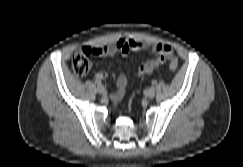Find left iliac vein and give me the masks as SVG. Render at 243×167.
<instances>
[{
  "mask_svg": "<svg viewBox=\"0 0 243 167\" xmlns=\"http://www.w3.org/2000/svg\"><path fill=\"white\" fill-rule=\"evenodd\" d=\"M155 93H156L155 89L153 87H151V88L147 89L146 96L148 98H153L155 96Z\"/></svg>",
  "mask_w": 243,
  "mask_h": 167,
  "instance_id": "left-iliac-vein-1",
  "label": "left iliac vein"
}]
</instances>
